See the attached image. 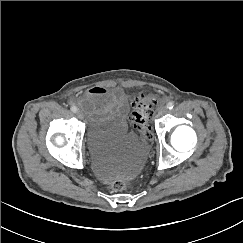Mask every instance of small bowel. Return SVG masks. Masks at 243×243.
<instances>
[{
	"label": "small bowel",
	"mask_w": 243,
	"mask_h": 243,
	"mask_svg": "<svg viewBox=\"0 0 243 243\" xmlns=\"http://www.w3.org/2000/svg\"><path fill=\"white\" fill-rule=\"evenodd\" d=\"M74 102L94 116L114 115L119 119H125L129 111L127 95L120 87L95 86Z\"/></svg>",
	"instance_id": "c3829d8e"
}]
</instances>
